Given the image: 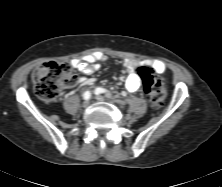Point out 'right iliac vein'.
I'll return each mask as SVG.
<instances>
[{
    "instance_id": "obj_1",
    "label": "right iliac vein",
    "mask_w": 222,
    "mask_h": 187,
    "mask_svg": "<svg viewBox=\"0 0 222 187\" xmlns=\"http://www.w3.org/2000/svg\"><path fill=\"white\" fill-rule=\"evenodd\" d=\"M89 105V100L84 101L83 107H87Z\"/></svg>"
}]
</instances>
